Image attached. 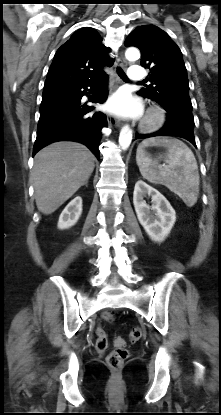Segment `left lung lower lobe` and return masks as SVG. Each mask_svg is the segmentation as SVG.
Here are the masks:
<instances>
[{"instance_id": "obj_1", "label": "left lung lower lobe", "mask_w": 221, "mask_h": 415, "mask_svg": "<svg viewBox=\"0 0 221 415\" xmlns=\"http://www.w3.org/2000/svg\"><path fill=\"white\" fill-rule=\"evenodd\" d=\"M163 107L167 112V118L163 128L152 134H136L135 139H145L155 136H175L190 141L196 147L193 133L194 117L192 114V105L172 103Z\"/></svg>"}]
</instances>
